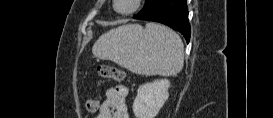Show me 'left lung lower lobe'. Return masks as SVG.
Listing matches in <instances>:
<instances>
[{"label": "left lung lower lobe", "instance_id": "0a47b994", "mask_svg": "<svg viewBox=\"0 0 273 118\" xmlns=\"http://www.w3.org/2000/svg\"><path fill=\"white\" fill-rule=\"evenodd\" d=\"M141 20L165 24L179 31L187 43L190 40L191 31L186 0H164L155 11L147 14Z\"/></svg>", "mask_w": 273, "mask_h": 118}]
</instances>
